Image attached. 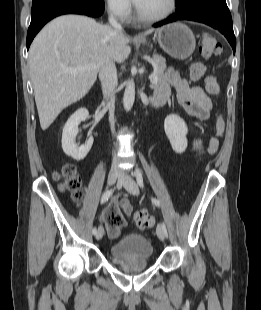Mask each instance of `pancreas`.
Listing matches in <instances>:
<instances>
[{"instance_id": "cf45deb5", "label": "pancreas", "mask_w": 261, "mask_h": 310, "mask_svg": "<svg viewBox=\"0 0 261 310\" xmlns=\"http://www.w3.org/2000/svg\"><path fill=\"white\" fill-rule=\"evenodd\" d=\"M151 63L154 67V73L153 75L158 78V82L156 84H153L152 88L155 89L160 85L166 84V75H165V69L166 64L165 60L162 57L155 56Z\"/></svg>"}]
</instances>
